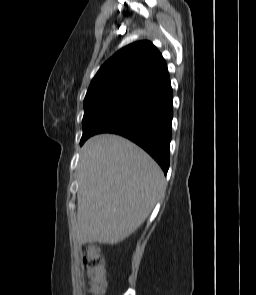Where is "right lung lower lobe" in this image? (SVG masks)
Masks as SVG:
<instances>
[{
  "instance_id": "98d812e1",
  "label": "right lung lower lobe",
  "mask_w": 256,
  "mask_h": 295,
  "mask_svg": "<svg viewBox=\"0 0 256 295\" xmlns=\"http://www.w3.org/2000/svg\"><path fill=\"white\" fill-rule=\"evenodd\" d=\"M172 118L173 92L167 72L140 92L95 134L108 132L130 139L147 151L166 174L170 164Z\"/></svg>"
}]
</instances>
